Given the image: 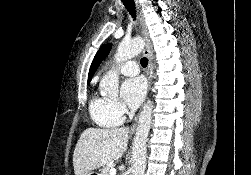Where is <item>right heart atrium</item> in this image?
Returning <instances> with one entry per match:
<instances>
[{
    "label": "right heart atrium",
    "instance_id": "d8ad5b80",
    "mask_svg": "<svg viewBox=\"0 0 251 175\" xmlns=\"http://www.w3.org/2000/svg\"><path fill=\"white\" fill-rule=\"evenodd\" d=\"M112 112L114 116L120 121H124L127 115V110L125 107L120 103H113L112 104Z\"/></svg>",
    "mask_w": 251,
    "mask_h": 175
}]
</instances>
